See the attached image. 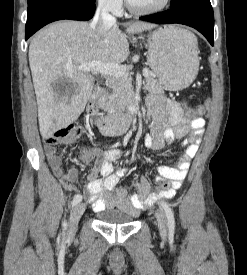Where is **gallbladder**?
Listing matches in <instances>:
<instances>
[{"label": "gallbladder", "mask_w": 247, "mask_h": 275, "mask_svg": "<svg viewBox=\"0 0 247 275\" xmlns=\"http://www.w3.org/2000/svg\"><path fill=\"white\" fill-rule=\"evenodd\" d=\"M53 89L58 94H65L68 91H71L70 86L66 83L65 79L58 80L55 84H53Z\"/></svg>", "instance_id": "obj_1"}]
</instances>
